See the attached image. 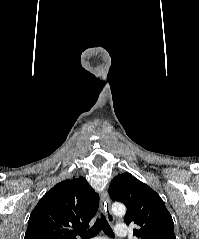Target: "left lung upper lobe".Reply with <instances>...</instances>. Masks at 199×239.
Segmentation results:
<instances>
[{"mask_svg": "<svg viewBox=\"0 0 199 239\" xmlns=\"http://www.w3.org/2000/svg\"><path fill=\"white\" fill-rule=\"evenodd\" d=\"M109 195L127 206L124 221L138 226L133 235L139 239H176L173 219L160 196L130 173L113 178Z\"/></svg>", "mask_w": 199, "mask_h": 239, "instance_id": "5c2ea615", "label": "left lung upper lobe"}]
</instances>
